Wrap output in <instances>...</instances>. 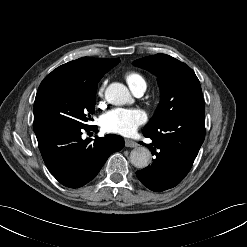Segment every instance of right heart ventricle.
Here are the masks:
<instances>
[{"instance_id": "obj_1", "label": "right heart ventricle", "mask_w": 247, "mask_h": 247, "mask_svg": "<svg viewBox=\"0 0 247 247\" xmlns=\"http://www.w3.org/2000/svg\"><path fill=\"white\" fill-rule=\"evenodd\" d=\"M125 79L132 91L141 86L146 87V81L144 77L136 71L126 72Z\"/></svg>"}]
</instances>
